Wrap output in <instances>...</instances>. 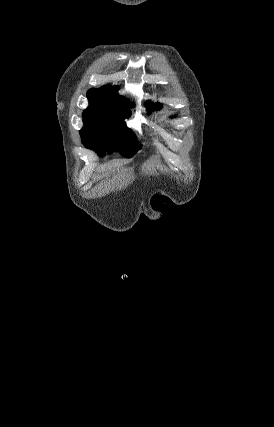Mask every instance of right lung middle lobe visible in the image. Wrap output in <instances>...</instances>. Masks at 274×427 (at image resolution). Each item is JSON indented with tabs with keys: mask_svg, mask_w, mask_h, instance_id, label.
<instances>
[{
	"mask_svg": "<svg viewBox=\"0 0 274 427\" xmlns=\"http://www.w3.org/2000/svg\"><path fill=\"white\" fill-rule=\"evenodd\" d=\"M130 113H107L84 116V127L80 131L83 144L90 149H98L103 156L106 151L120 149L126 157H132L138 146L135 134L125 126L124 119Z\"/></svg>",
	"mask_w": 274,
	"mask_h": 427,
	"instance_id": "dd1d6c3e",
	"label": "right lung middle lobe"
}]
</instances>
